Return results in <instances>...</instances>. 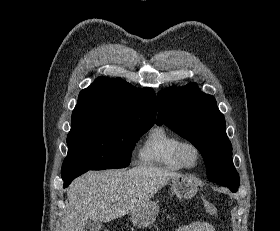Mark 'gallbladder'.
Returning <instances> with one entry per match:
<instances>
[{"instance_id": "obj_1", "label": "gallbladder", "mask_w": 280, "mask_h": 231, "mask_svg": "<svg viewBox=\"0 0 280 231\" xmlns=\"http://www.w3.org/2000/svg\"><path fill=\"white\" fill-rule=\"evenodd\" d=\"M103 223L99 221V219H90L88 223H86L83 231H99L101 229Z\"/></svg>"}]
</instances>
